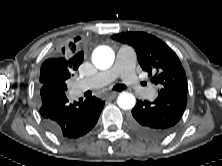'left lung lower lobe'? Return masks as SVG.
Listing matches in <instances>:
<instances>
[{"instance_id":"0a47b994","label":"left lung lower lobe","mask_w":222,"mask_h":166,"mask_svg":"<svg viewBox=\"0 0 222 166\" xmlns=\"http://www.w3.org/2000/svg\"><path fill=\"white\" fill-rule=\"evenodd\" d=\"M187 103V92L176 89L160 90L151 103L138 100L132 109L131 127L139 134L161 138L172 132Z\"/></svg>"}]
</instances>
